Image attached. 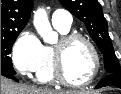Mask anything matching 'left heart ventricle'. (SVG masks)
<instances>
[{
  "label": "left heart ventricle",
  "mask_w": 121,
  "mask_h": 94,
  "mask_svg": "<svg viewBox=\"0 0 121 94\" xmlns=\"http://www.w3.org/2000/svg\"><path fill=\"white\" fill-rule=\"evenodd\" d=\"M66 76L75 83L87 81L94 71V60L89 48L82 41H74L64 52Z\"/></svg>",
  "instance_id": "left-heart-ventricle-1"
}]
</instances>
